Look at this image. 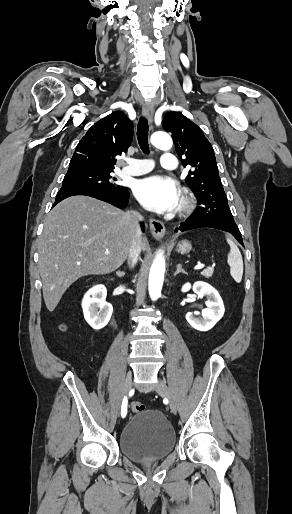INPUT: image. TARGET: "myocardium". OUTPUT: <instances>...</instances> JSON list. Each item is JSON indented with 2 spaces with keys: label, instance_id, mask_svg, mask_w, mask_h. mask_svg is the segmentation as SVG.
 Segmentation results:
<instances>
[{
  "label": "myocardium",
  "instance_id": "myocardium-1",
  "mask_svg": "<svg viewBox=\"0 0 292 514\" xmlns=\"http://www.w3.org/2000/svg\"><path fill=\"white\" fill-rule=\"evenodd\" d=\"M191 208V201L187 196H183L179 203V210L181 212H187Z\"/></svg>",
  "mask_w": 292,
  "mask_h": 514
}]
</instances>
